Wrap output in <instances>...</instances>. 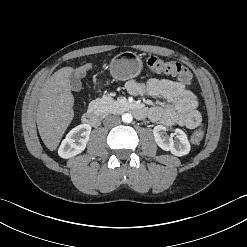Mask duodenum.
<instances>
[{
	"instance_id": "duodenum-1",
	"label": "duodenum",
	"mask_w": 247,
	"mask_h": 247,
	"mask_svg": "<svg viewBox=\"0 0 247 247\" xmlns=\"http://www.w3.org/2000/svg\"><path fill=\"white\" fill-rule=\"evenodd\" d=\"M130 109L137 118H143L146 114L145 109L138 105H132ZM82 121L84 124L90 125L92 127H97L100 124L99 115L94 109H90L84 113L82 116Z\"/></svg>"
}]
</instances>
